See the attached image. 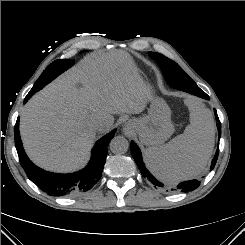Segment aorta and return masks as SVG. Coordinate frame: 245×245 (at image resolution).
<instances>
[{"instance_id": "obj_1", "label": "aorta", "mask_w": 245, "mask_h": 245, "mask_svg": "<svg viewBox=\"0 0 245 245\" xmlns=\"http://www.w3.org/2000/svg\"><path fill=\"white\" fill-rule=\"evenodd\" d=\"M128 148V140L123 136H116L110 142V150L115 154H123Z\"/></svg>"}]
</instances>
